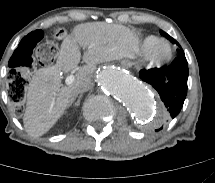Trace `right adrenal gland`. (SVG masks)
<instances>
[{"instance_id":"obj_1","label":"right adrenal gland","mask_w":215,"mask_h":183,"mask_svg":"<svg viewBox=\"0 0 215 183\" xmlns=\"http://www.w3.org/2000/svg\"><path fill=\"white\" fill-rule=\"evenodd\" d=\"M81 98H82V95H79L78 100L75 103L76 106H79Z\"/></svg>"}]
</instances>
